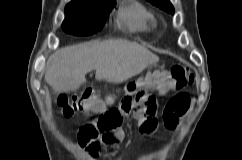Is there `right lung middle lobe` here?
<instances>
[{
	"label": "right lung middle lobe",
	"mask_w": 242,
	"mask_h": 160,
	"mask_svg": "<svg viewBox=\"0 0 242 160\" xmlns=\"http://www.w3.org/2000/svg\"><path fill=\"white\" fill-rule=\"evenodd\" d=\"M115 4V0H99L81 5L67 4L62 28L65 32L86 36L103 27V18Z\"/></svg>",
	"instance_id": "right-lung-middle-lobe-1"
}]
</instances>
